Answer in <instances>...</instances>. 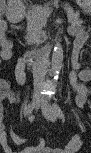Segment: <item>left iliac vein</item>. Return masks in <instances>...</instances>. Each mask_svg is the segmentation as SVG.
<instances>
[{
  "instance_id": "1",
  "label": "left iliac vein",
  "mask_w": 91,
  "mask_h": 153,
  "mask_svg": "<svg viewBox=\"0 0 91 153\" xmlns=\"http://www.w3.org/2000/svg\"><path fill=\"white\" fill-rule=\"evenodd\" d=\"M41 108H42L43 114L49 121L54 122L56 120L57 114H56L55 108L48 103L47 99H43Z\"/></svg>"
}]
</instances>
